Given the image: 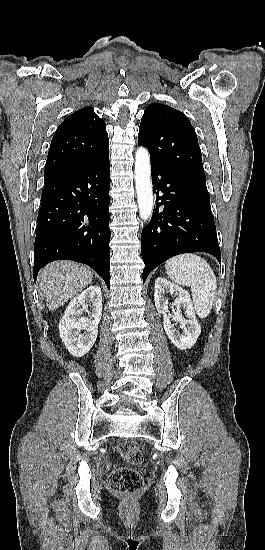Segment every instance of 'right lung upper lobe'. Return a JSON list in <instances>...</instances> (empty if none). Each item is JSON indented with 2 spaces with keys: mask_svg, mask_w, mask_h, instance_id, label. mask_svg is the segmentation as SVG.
<instances>
[{
  "mask_svg": "<svg viewBox=\"0 0 265 550\" xmlns=\"http://www.w3.org/2000/svg\"><path fill=\"white\" fill-rule=\"evenodd\" d=\"M109 155L104 120L92 107L69 115L57 128L47 156L44 177L66 168L92 164Z\"/></svg>",
  "mask_w": 265,
  "mask_h": 550,
  "instance_id": "right-lung-upper-lobe-1",
  "label": "right lung upper lobe"
}]
</instances>
